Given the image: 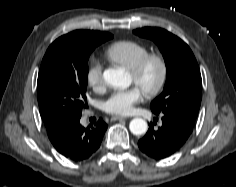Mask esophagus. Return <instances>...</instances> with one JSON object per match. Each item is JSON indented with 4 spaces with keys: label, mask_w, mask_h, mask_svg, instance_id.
I'll return each mask as SVG.
<instances>
[{
    "label": "esophagus",
    "mask_w": 236,
    "mask_h": 187,
    "mask_svg": "<svg viewBox=\"0 0 236 187\" xmlns=\"http://www.w3.org/2000/svg\"><path fill=\"white\" fill-rule=\"evenodd\" d=\"M125 119H127V117H124V116H112L111 117L112 121L125 120Z\"/></svg>",
    "instance_id": "esophagus-1"
}]
</instances>
